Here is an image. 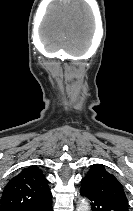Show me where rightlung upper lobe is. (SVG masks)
I'll return each instance as SVG.
<instances>
[{
	"label": "right lung upper lobe",
	"mask_w": 133,
	"mask_h": 211,
	"mask_svg": "<svg viewBox=\"0 0 133 211\" xmlns=\"http://www.w3.org/2000/svg\"><path fill=\"white\" fill-rule=\"evenodd\" d=\"M48 180L37 166L24 168L5 186L0 200V211H27L48 200L52 194Z\"/></svg>",
	"instance_id": "right-lung-upper-lobe-1"
}]
</instances>
